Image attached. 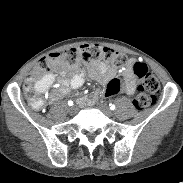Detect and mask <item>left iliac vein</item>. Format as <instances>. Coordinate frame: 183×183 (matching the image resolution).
Listing matches in <instances>:
<instances>
[{"label": "left iliac vein", "instance_id": "1", "mask_svg": "<svg viewBox=\"0 0 183 183\" xmlns=\"http://www.w3.org/2000/svg\"><path fill=\"white\" fill-rule=\"evenodd\" d=\"M99 109L107 116H112L113 112L104 104L99 105Z\"/></svg>", "mask_w": 183, "mask_h": 183}]
</instances>
